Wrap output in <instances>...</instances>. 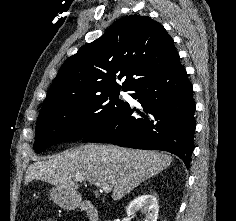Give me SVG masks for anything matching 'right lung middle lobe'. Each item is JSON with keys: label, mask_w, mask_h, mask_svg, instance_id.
<instances>
[{"label": "right lung middle lobe", "mask_w": 236, "mask_h": 221, "mask_svg": "<svg viewBox=\"0 0 236 221\" xmlns=\"http://www.w3.org/2000/svg\"><path fill=\"white\" fill-rule=\"evenodd\" d=\"M119 93L120 90L104 92L42 109L36 124V152L57 143L82 139L102 128L127 104L119 99Z\"/></svg>", "instance_id": "dd1d6c3e"}]
</instances>
